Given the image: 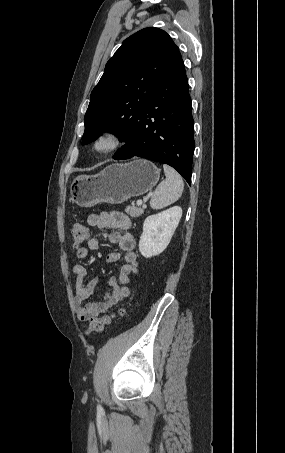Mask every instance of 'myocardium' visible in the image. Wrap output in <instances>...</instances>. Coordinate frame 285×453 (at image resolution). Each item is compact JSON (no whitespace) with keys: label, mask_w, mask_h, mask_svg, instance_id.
I'll list each match as a JSON object with an SVG mask.
<instances>
[{"label":"myocardium","mask_w":285,"mask_h":453,"mask_svg":"<svg viewBox=\"0 0 285 453\" xmlns=\"http://www.w3.org/2000/svg\"><path fill=\"white\" fill-rule=\"evenodd\" d=\"M123 142L124 136L120 129L107 127L94 137L92 149L97 154L106 155L120 148Z\"/></svg>","instance_id":"myocardium-1"}]
</instances>
